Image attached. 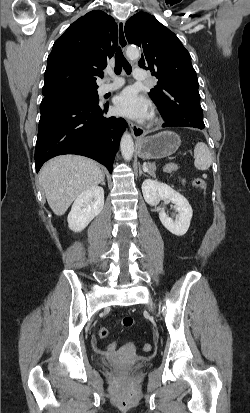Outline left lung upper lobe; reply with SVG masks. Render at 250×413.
I'll use <instances>...</instances> for the list:
<instances>
[{
	"instance_id": "left-lung-upper-lobe-1",
	"label": "left lung upper lobe",
	"mask_w": 250,
	"mask_h": 413,
	"mask_svg": "<svg viewBox=\"0 0 250 413\" xmlns=\"http://www.w3.org/2000/svg\"><path fill=\"white\" fill-rule=\"evenodd\" d=\"M124 30L127 41L143 50L139 66L150 70L158 79L157 86L149 94L154 101L162 103L173 99V94L198 91L189 52L154 16L137 13L126 22Z\"/></svg>"
}]
</instances>
